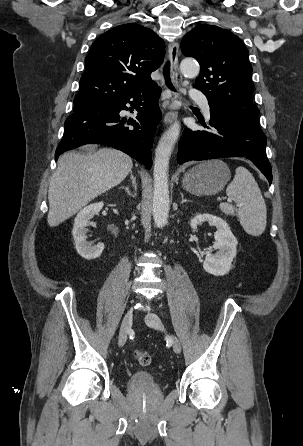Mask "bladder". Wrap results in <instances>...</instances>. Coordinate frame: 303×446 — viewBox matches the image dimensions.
I'll use <instances>...</instances> for the list:
<instances>
[{
  "label": "bladder",
  "instance_id": "obj_1",
  "mask_svg": "<svg viewBox=\"0 0 303 446\" xmlns=\"http://www.w3.org/2000/svg\"><path fill=\"white\" fill-rule=\"evenodd\" d=\"M128 384L131 387L151 388L158 386V381L156 377L150 372L135 371L130 375Z\"/></svg>",
  "mask_w": 303,
  "mask_h": 446
}]
</instances>
